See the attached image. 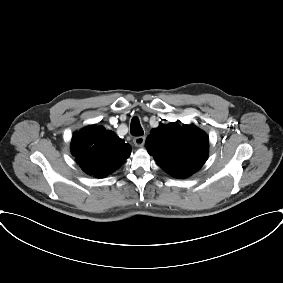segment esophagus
I'll return each mask as SVG.
<instances>
[{
	"label": "esophagus",
	"instance_id": "34e87169",
	"mask_svg": "<svg viewBox=\"0 0 283 283\" xmlns=\"http://www.w3.org/2000/svg\"><path fill=\"white\" fill-rule=\"evenodd\" d=\"M144 142H145L144 136H137V137H134L133 139V143L136 147H142L144 145Z\"/></svg>",
	"mask_w": 283,
	"mask_h": 283
}]
</instances>
